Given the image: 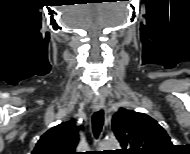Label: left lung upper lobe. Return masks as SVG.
Listing matches in <instances>:
<instances>
[{
  "label": "left lung upper lobe",
  "mask_w": 190,
  "mask_h": 154,
  "mask_svg": "<svg viewBox=\"0 0 190 154\" xmlns=\"http://www.w3.org/2000/svg\"><path fill=\"white\" fill-rule=\"evenodd\" d=\"M112 129L121 154H163L172 147L166 131L144 113L120 108L113 116Z\"/></svg>",
  "instance_id": "obj_1"
}]
</instances>
